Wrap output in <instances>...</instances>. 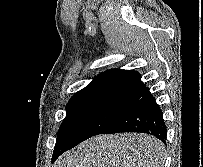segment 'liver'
Instances as JSON below:
<instances>
[{"label": "liver", "mask_w": 203, "mask_h": 167, "mask_svg": "<svg viewBox=\"0 0 203 167\" xmlns=\"http://www.w3.org/2000/svg\"><path fill=\"white\" fill-rule=\"evenodd\" d=\"M165 147L139 133L98 135L66 152L53 167H164Z\"/></svg>", "instance_id": "liver-1"}]
</instances>
